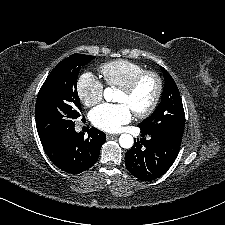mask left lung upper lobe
Segmentation results:
<instances>
[{
    "instance_id": "1",
    "label": "left lung upper lobe",
    "mask_w": 225,
    "mask_h": 225,
    "mask_svg": "<svg viewBox=\"0 0 225 225\" xmlns=\"http://www.w3.org/2000/svg\"><path fill=\"white\" fill-rule=\"evenodd\" d=\"M162 68V67H161ZM165 85L160 104L138 126L142 132H167L183 136L185 114L181 96L171 75L164 69Z\"/></svg>"
}]
</instances>
